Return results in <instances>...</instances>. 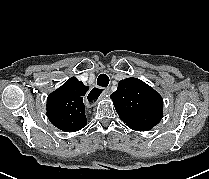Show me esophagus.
<instances>
[{
  "label": "esophagus",
  "mask_w": 209,
  "mask_h": 179,
  "mask_svg": "<svg viewBox=\"0 0 209 179\" xmlns=\"http://www.w3.org/2000/svg\"><path fill=\"white\" fill-rule=\"evenodd\" d=\"M91 94L88 96V100L91 103H94L97 100V96L105 97L110 95V89L105 88L104 90L102 88H94L91 92Z\"/></svg>",
  "instance_id": "1"
}]
</instances>
